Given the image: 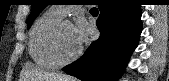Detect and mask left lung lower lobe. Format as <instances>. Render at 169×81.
I'll return each instance as SVG.
<instances>
[{"mask_svg": "<svg viewBox=\"0 0 169 81\" xmlns=\"http://www.w3.org/2000/svg\"><path fill=\"white\" fill-rule=\"evenodd\" d=\"M141 5L133 0H101L98 40L62 70L82 81H117L142 31Z\"/></svg>", "mask_w": 169, "mask_h": 81, "instance_id": "obj_1", "label": "left lung lower lobe"}]
</instances>
